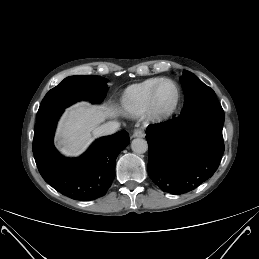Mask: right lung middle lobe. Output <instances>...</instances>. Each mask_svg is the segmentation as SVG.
Wrapping results in <instances>:
<instances>
[{
  "label": "right lung middle lobe",
  "mask_w": 259,
  "mask_h": 259,
  "mask_svg": "<svg viewBox=\"0 0 259 259\" xmlns=\"http://www.w3.org/2000/svg\"><path fill=\"white\" fill-rule=\"evenodd\" d=\"M106 81L105 78L95 75L67 77L45 95L37 118L51 111L64 109L80 100L101 102L108 90Z\"/></svg>",
  "instance_id": "dd1d6c3e"
}]
</instances>
